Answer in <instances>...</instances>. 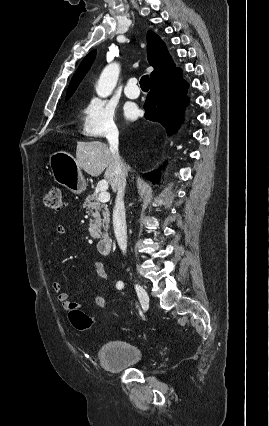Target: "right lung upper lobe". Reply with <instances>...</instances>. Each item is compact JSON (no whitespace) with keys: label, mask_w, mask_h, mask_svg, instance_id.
Returning a JSON list of instances; mask_svg holds the SVG:
<instances>
[{"label":"right lung upper lobe","mask_w":269,"mask_h":426,"mask_svg":"<svg viewBox=\"0 0 269 426\" xmlns=\"http://www.w3.org/2000/svg\"><path fill=\"white\" fill-rule=\"evenodd\" d=\"M95 56L96 50H93L82 60L80 66L71 79L66 98L70 97L75 92L80 81L88 72ZM147 57L150 65L154 67V71L150 75V82L175 69L166 45L153 31H148L147 34Z\"/></svg>","instance_id":"1"}]
</instances>
